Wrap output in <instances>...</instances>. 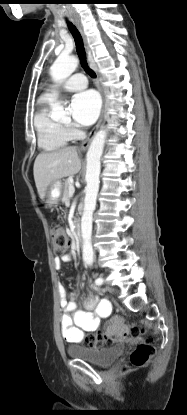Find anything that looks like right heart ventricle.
Segmentation results:
<instances>
[{"label": "right heart ventricle", "mask_w": 187, "mask_h": 415, "mask_svg": "<svg viewBox=\"0 0 187 415\" xmlns=\"http://www.w3.org/2000/svg\"><path fill=\"white\" fill-rule=\"evenodd\" d=\"M48 100L47 97L41 99V105L34 117V126L39 147L46 151H54L67 145L71 136L64 125L50 117L47 107Z\"/></svg>", "instance_id": "right-heart-ventricle-1"}]
</instances>
